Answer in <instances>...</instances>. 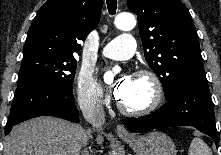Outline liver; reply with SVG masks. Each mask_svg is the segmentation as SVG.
Instances as JSON below:
<instances>
[{"instance_id":"liver-1","label":"liver","mask_w":221,"mask_h":155,"mask_svg":"<svg viewBox=\"0 0 221 155\" xmlns=\"http://www.w3.org/2000/svg\"><path fill=\"white\" fill-rule=\"evenodd\" d=\"M87 132L78 124L43 116L15 126L3 143V155H80ZM103 143V137H97Z\"/></svg>"}]
</instances>
